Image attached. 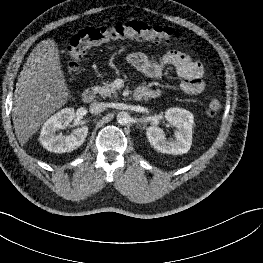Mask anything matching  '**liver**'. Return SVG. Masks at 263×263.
Wrapping results in <instances>:
<instances>
[{
    "label": "liver",
    "mask_w": 263,
    "mask_h": 263,
    "mask_svg": "<svg viewBox=\"0 0 263 263\" xmlns=\"http://www.w3.org/2000/svg\"><path fill=\"white\" fill-rule=\"evenodd\" d=\"M68 94L57 44L43 40L30 53L16 83L12 116L21 145L67 102Z\"/></svg>",
    "instance_id": "1"
}]
</instances>
